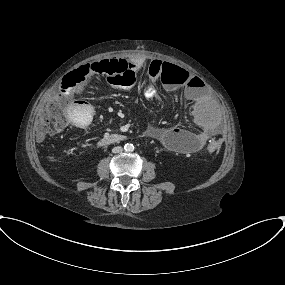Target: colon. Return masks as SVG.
I'll return each mask as SVG.
<instances>
[{
    "label": "colon",
    "instance_id": "colon-1",
    "mask_svg": "<svg viewBox=\"0 0 285 285\" xmlns=\"http://www.w3.org/2000/svg\"><path fill=\"white\" fill-rule=\"evenodd\" d=\"M187 71L183 68L165 65L163 77L166 80L183 79ZM91 77H104L114 85L121 86L124 89H132L137 81L136 72L131 69L125 60H101L92 64L80 66L64 79L65 86L75 89L77 84L83 79ZM90 119H81L79 126L86 127L91 122ZM68 122V112L65 101L59 95H53L46 105V111L40 116L36 123V137L42 138L51 136L64 129ZM221 143L218 138L209 141L207 150L210 153H218Z\"/></svg>",
    "mask_w": 285,
    "mask_h": 285
}]
</instances>
